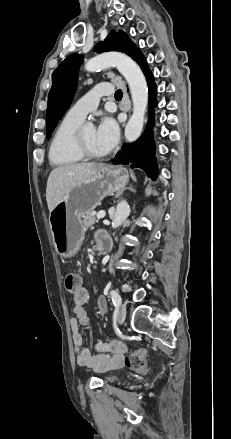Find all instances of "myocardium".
<instances>
[{
	"mask_svg": "<svg viewBox=\"0 0 231 439\" xmlns=\"http://www.w3.org/2000/svg\"><path fill=\"white\" fill-rule=\"evenodd\" d=\"M82 131H83V128H79L74 134L73 143H74V147H75L76 151L83 158H86V159H99V158L104 157L106 155L105 153L97 154V153H94L88 149V147L84 143V140L82 137Z\"/></svg>",
	"mask_w": 231,
	"mask_h": 439,
	"instance_id": "1",
	"label": "myocardium"
}]
</instances>
